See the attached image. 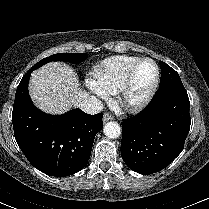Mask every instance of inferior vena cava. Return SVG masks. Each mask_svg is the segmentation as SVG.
I'll return each instance as SVG.
<instances>
[{
  "label": "inferior vena cava",
  "mask_w": 209,
  "mask_h": 209,
  "mask_svg": "<svg viewBox=\"0 0 209 209\" xmlns=\"http://www.w3.org/2000/svg\"><path fill=\"white\" fill-rule=\"evenodd\" d=\"M77 106L88 114H97L104 108L102 102L95 96L80 99L77 103Z\"/></svg>",
  "instance_id": "1"
}]
</instances>
